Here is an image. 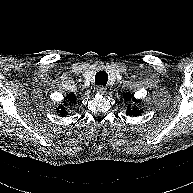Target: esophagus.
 Segmentation results:
<instances>
[{
	"label": "esophagus",
	"instance_id": "esophagus-1",
	"mask_svg": "<svg viewBox=\"0 0 193 193\" xmlns=\"http://www.w3.org/2000/svg\"><path fill=\"white\" fill-rule=\"evenodd\" d=\"M106 90H107V88H106L105 86H103V85H99V86L96 87V91H97L99 94H104V93H106Z\"/></svg>",
	"mask_w": 193,
	"mask_h": 193
}]
</instances>
